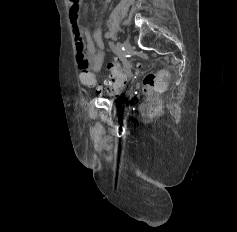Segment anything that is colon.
<instances>
[{
  "mask_svg": "<svg viewBox=\"0 0 237 232\" xmlns=\"http://www.w3.org/2000/svg\"><path fill=\"white\" fill-rule=\"evenodd\" d=\"M137 71L142 70V65L136 64L133 66ZM111 73L110 79H108L104 86L106 90L119 91L127 83L129 78V66L120 61H113L108 65ZM81 82L86 86H94L96 84L95 76L87 71L83 70L80 74ZM167 86V73L164 71L157 73H149L143 79V92L148 97L152 98L162 93ZM160 110V104L154 99L148 100L142 107V111L145 117L150 118L156 115Z\"/></svg>",
  "mask_w": 237,
  "mask_h": 232,
  "instance_id": "5ec220e1",
  "label": "colon"
}]
</instances>
